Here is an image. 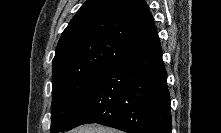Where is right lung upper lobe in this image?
Masks as SVG:
<instances>
[{
  "label": "right lung upper lobe",
  "instance_id": "right-lung-upper-lobe-1",
  "mask_svg": "<svg viewBox=\"0 0 221 133\" xmlns=\"http://www.w3.org/2000/svg\"><path fill=\"white\" fill-rule=\"evenodd\" d=\"M159 44L144 0H87L60 37L52 72L111 66Z\"/></svg>",
  "mask_w": 221,
  "mask_h": 133
}]
</instances>
